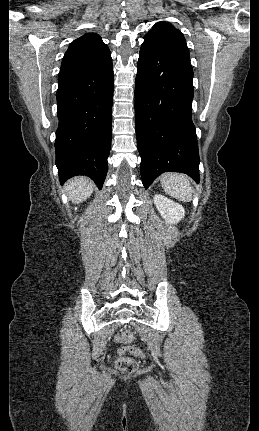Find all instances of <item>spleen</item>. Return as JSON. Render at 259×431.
Returning a JSON list of instances; mask_svg holds the SVG:
<instances>
[{
	"label": "spleen",
	"instance_id": "obj_1",
	"mask_svg": "<svg viewBox=\"0 0 259 431\" xmlns=\"http://www.w3.org/2000/svg\"><path fill=\"white\" fill-rule=\"evenodd\" d=\"M163 190L170 196L189 202L192 199L193 187L189 178L181 173H165L160 178Z\"/></svg>",
	"mask_w": 259,
	"mask_h": 431
}]
</instances>
